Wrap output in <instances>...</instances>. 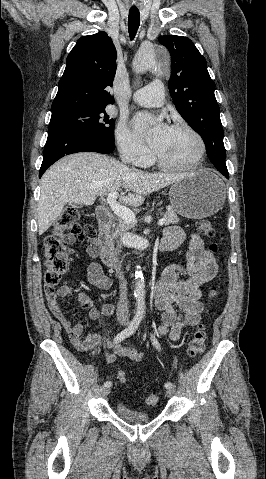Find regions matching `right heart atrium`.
<instances>
[{"mask_svg": "<svg viewBox=\"0 0 266 479\" xmlns=\"http://www.w3.org/2000/svg\"><path fill=\"white\" fill-rule=\"evenodd\" d=\"M116 142L122 158L134 165L144 166L150 162V154L132 134L129 128L120 123L116 129Z\"/></svg>", "mask_w": 266, "mask_h": 479, "instance_id": "1", "label": "right heart atrium"}]
</instances>
